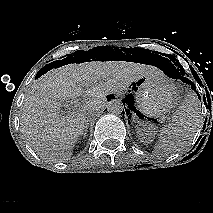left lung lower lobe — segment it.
I'll use <instances>...</instances> for the list:
<instances>
[{
	"instance_id": "1",
	"label": "left lung lower lobe",
	"mask_w": 213,
	"mask_h": 213,
	"mask_svg": "<svg viewBox=\"0 0 213 213\" xmlns=\"http://www.w3.org/2000/svg\"><path fill=\"white\" fill-rule=\"evenodd\" d=\"M191 87H192V89L196 90L195 84L191 83ZM198 97H199V99H200V96H199V95H198ZM122 101H123V104H124V105H125V103H127V102H126V99H123ZM124 107H125V106H124ZM122 113H123V112H122Z\"/></svg>"
}]
</instances>
